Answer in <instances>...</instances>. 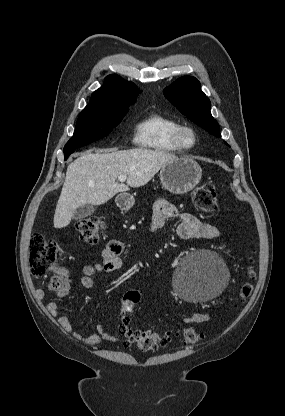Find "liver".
Instances as JSON below:
<instances>
[{"label": "liver", "mask_w": 285, "mask_h": 416, "mask_svg": "<svg viewBox=\"0 0 285 416\" xmlns=\"http://www.w3.org/2000/svg\"><path fill=\"white\" fill-rule=\"evenodd\" d=\"M93 150L84 152L69 164L65 182L54 214V228H66L77 208L91 204L102 206L119 192L141 188L168 162L177 160L175 154L164 150ZM118 176H127L126 184L116 182Z\"/></svg>", "instance_id": "obj_1"}]
</instances>
